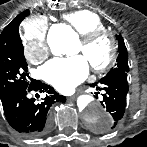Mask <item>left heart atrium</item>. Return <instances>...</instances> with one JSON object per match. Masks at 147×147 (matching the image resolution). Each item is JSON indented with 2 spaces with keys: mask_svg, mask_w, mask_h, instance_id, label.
<instances>
[{
  "mask_svg": "<svg viewBox=\"0 0 147 147\" xmlns=\"http://www.w3.org/2000/svg\"><path fill=\"white\" fill-rule=\"evenodd\" d=\"M43 79L58 90L67 92L82 82L89 73V65L84 56L55 58L42 67Z\"/></svg>",
  "mask_w": 147,
  "mask_h": 147,
  "instance_id": "1",
  "label": "left heart atrium"
}]
</instances>
